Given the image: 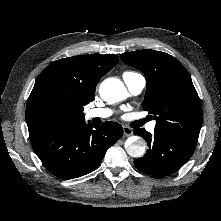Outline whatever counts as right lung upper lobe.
I'll list each match as a JSON object with an SVG mask.
<instances>
[{
    "label": "right lung upper lobe",
    "instance_id": "right-lung-upper-lobe-1",
    "mask_svg": "<svg viewBox=\"0 0 221 221\" xmlns=\"http://www.w3.org/2000/svg\"><path fill=\"white\" fill-rule=\"evenodd\" d=\"M117 55H82L51 63L38 76L26 105L30 140L63 125L84 122V106L98 81L117 63Z\"/></svg>",
    "mask_w": 221,
    "mask_h": 221
}]
</instances>
